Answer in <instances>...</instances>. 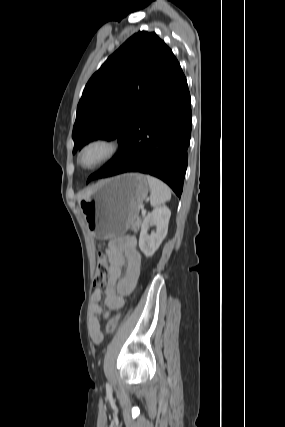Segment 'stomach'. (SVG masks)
Wrapping results in <instances>:
<instances>
[{"mask_svg": "<svg viewBox=\"0 0 285 427\" xmlns=\"http://www.w3.org/2000/svg\"><path fill=\"white\" fill-rule=\"evenodd\" d=\"M149 191L146 176L127 173L102 180L78 201L89 231L99 239L125 233L134 223Z\"/></svg>", "mask_w": 285, "mask_h": 427, "instance_id": "obj_1", "label": "stomach"}]
</instances>
